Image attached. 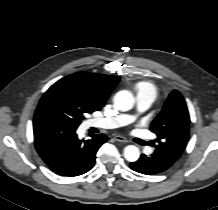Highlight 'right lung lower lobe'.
I'll return each instance as SVG.
<instances>
[{
	"mask_svg": "<svg viewBox=\"0 0 218 210\" xmlns=\"http://www.w3.org/2000/svg\"><path fill=\"white\" fill-rule=\"evenodd\" d=\"M33 128L40 157L52 171L68 177L88 172L95 164L99 147L108 139L100 134L79 140L76 129L56 119H36Z\"/></svg>",
	"mask_w": 218,
	"mask_h": 210,
	"instance_id": "right-lung-lower-lobe-1",
	"label": "right lung lower lobe"
}]
</instances>
